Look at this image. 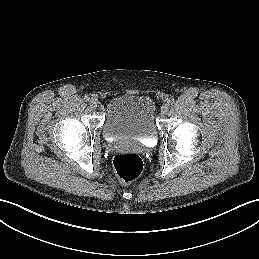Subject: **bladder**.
Wrapping results in <instances>:
<instances>
[{"label":"bladder","instance_id":"1","mask_svg":"<svg viewBox=\"0 0 259 259\" xmlns=\"http://www.w3.org/2000/svg\"><path fill=\"white\" fill-rule=\"evenodd\" d=\"M153 100L140 94H122L111 98L105 108L102 134L107 140H155L157 126Z\"/></svg>","mask_w":259,"mask_h":259}]
</instances>
